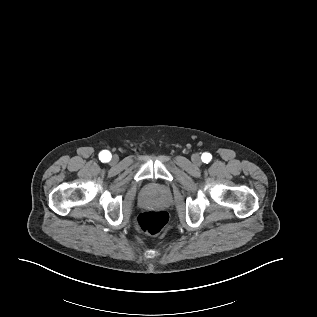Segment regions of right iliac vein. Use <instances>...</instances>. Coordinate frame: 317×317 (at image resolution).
Instances as JSON below:
<instances>
[{
	"label": "right iliac vein",
	"instance_id": "63e3f726",
	"mask_svg": "<svg viewBox=\"0 0 317 317\" xmlns=\"http://www.w3.org/2000/svg\"><path fill=\"white\" fill-rule=\"evenodd\" d=\"M117 160H118V158H117L116 156H114V157L112 158V162H113V163H116Z\"/></svg>",
	"mask_w": 317,
	"mask_h": 317
}]
</instances>
